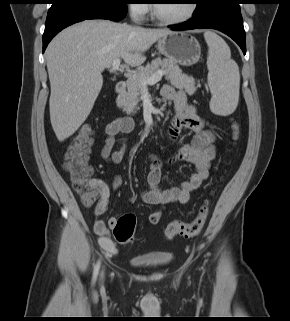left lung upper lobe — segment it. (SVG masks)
Listing matches in <instances>:
<instances>
[{
  "label": "left lung upper lobe",
  "instance_id": "5c2ea615",
  "mask_svg": "<svg viewBox=\"0 0 290 321\" xmlns=\"http://www.w3.org/2000/svg\"><path fill=\"white\" fill-rule=\"evenodd\" d=\"M194 1L197 4V8L194 11V13H197V12L205 9L210 4H212V2L215 1V0H194Z\"/></svg>",
  "mask_w": 290,
  "mask_h": 321
}]
</instances>
